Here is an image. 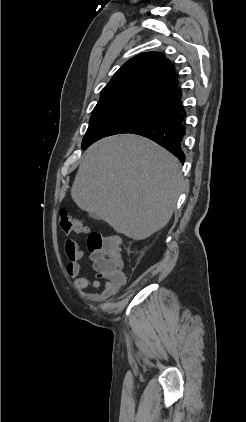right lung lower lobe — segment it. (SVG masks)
Instances as JSON below:
<instances>
[{"instance_id":"1","label":"right lung lower lobe","mask_w":246,"mask_h":422,"mask_svg":"<svg viewBox=\"0 0 246 422\" xmlns=\"http://www.w3.org/2000/svg\"><path fill=\"white\" fill-rule=\"evenodd\" d=\"M186 112L180 98L160 108V115L137 127L129 133L144 136L158 143L174 154L181 162L185 155L181 150V141L185 135L183 120Z\"/></svg>"}]
</instances>
